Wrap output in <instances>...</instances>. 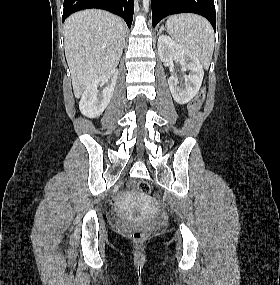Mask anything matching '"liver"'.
Listing matches in <instances>:
<instances>
[{
	"instance_id": "liver-1",
	"label": "liver",
	"mask_w": 280,
	"mask_h": 285,
	"mask_svg": "<svg viewBox=\"0 0 280 285\" xmlns=\"http://www.w3.org/2000/svg\"><path fill=\"white\" fill-rule=\"evenodd\" d=\"M125 35L123 20L106 11L89 9L66 19L64 48L76 98L95 79L117 67Z\"/></svg>"
}]
</instances>
